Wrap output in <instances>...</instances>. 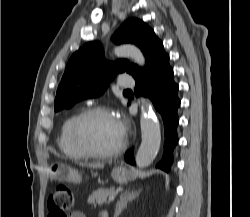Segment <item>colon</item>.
Here are the masks:
<instances>
[{
	"instance_id": "5ec220e1",
	"label": "colon",
	"mask_w": 250,
	"mask_h": 217,
	"mask_svg": "<svg viewBox=\"0 0 250 217\" xmlns=\"http://www.w3.org/2000/svg\"><path fill=\"white\" fill-rule=\"evenodd\" d=\"M74 205V196L70 186L58 184L48 199V217H68Z\"/></svg>"
}]
</instances>
